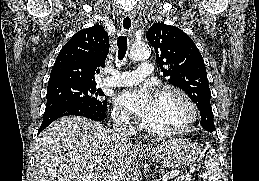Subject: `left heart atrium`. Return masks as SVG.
I'll use <instances>...</instances> for the list:
<instances>
[{
  "instance_id": "left-heart-atrium-1",
  "label": "left heart atrium",
  "mask_w": 259,
  "mask_h": 181,
  "mask_svg": "<svg viewBox=\"0 0 259 181\" xmlns=\"http://www.w3.org/2000/svg\"><path fill=\"white\" fill-rule=\"evenodd\" d=\"M155 97L144 87L126 89L118 93L115 104L122 110L145 121L152 112Z\"/></svg>"
}]
</instances>
